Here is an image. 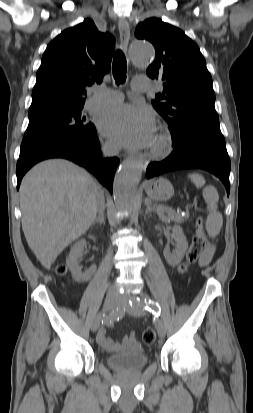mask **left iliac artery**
Here are the masks:
<instances>
[{
	"mask_svg": "<svg viewBox=\"0 0 253 413\" xmlns=\"http://www.w3.org/2000/svg\"><path fill=\"white\" fill-rule=\"evenodd\" d=\"M129 303L134 307H143L146 310L154 313L156 316H160L161 314V308L159 304L151 300L148 295H144L142 298H131Z\"/></svg>",
	"mask_w": 253,
	"mask_h": 413,
	"instance_id": "1",
	"label": "left iliac artery"
}]
</instances>
